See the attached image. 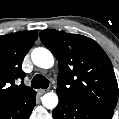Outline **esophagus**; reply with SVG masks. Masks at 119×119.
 <instances>
[{
    "label": "esophagus",
    "instance_id": "1",
    "mask_svg": "<svg viewBox=\"0 0 119 119\" xmlns=\"http://www.w3.org/2000/svg\"><path fill=\"white\" fill-rule=\"evenodd\" d=\"M45 92H46L45 89H38V90H37V93H38L39 95H43Z\"/></svg>",
    "mask_w": 119,
    "mask_h": 119
}]
</instances>
